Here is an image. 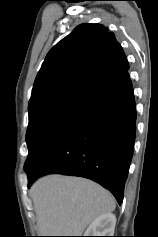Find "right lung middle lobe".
I'll return each instance as SVG.
<instances>
[{
  "label": "right lung middle lobe",
  "mask_w": 158,
  "mask_h": 237,
  "mask_svg": "<svg viewBox=\"0 0 158 237\" xmlns=\"http://www.w3.org/2000/svg\"><path fill=\"white\" fill-rule=\"evenodd\" d=\"M84 101L61 96L43 100L28 107L29 124L26 141L29 150L24 169L29 166L42 141Z\"/></svg>",
  "instance_id": "dd1d6c3e"
}]
</instances>
